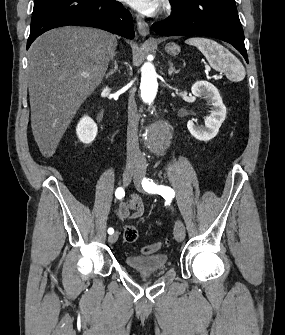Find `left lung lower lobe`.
<instances>
[{
  "label": "left lung lower lobe",
  "instance_id": "1",
  "mask_svg": "<svg viewBox=\"0 0 285 335\" xmlns=\"http://www.w3.org/2000/svg\"><path fill=\"white\" fill-rule=\"evenodd\" d=\"M172 15L153 24L161 36L203 35L233 45L248 62L235 0H171Z\"/></svg>",
  "mask_w": 285,
  "mask_h": 335
}]
</instances>
